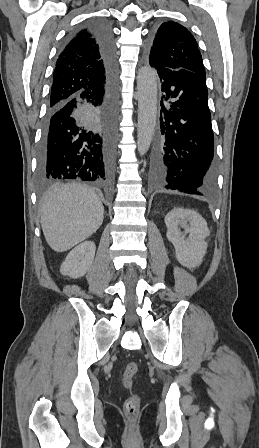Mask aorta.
I'll use <instances>...</instances> for the list:
<instances>
[{"label":"aorta","instance_id":"aorta-1","mask_svg":"<svg viewBox=\"0 0 259 448\" xmlns=\"http://www.w3.org/2000/svg\"><path fill=\"white\" fill-rule=\"evenodd\" d=\"M138 124L137 147L144 155L152 142L157 120V73L149 67L139 69L137 75Z\"/></svg>","mask_w":259,"mask_h":448}]
</instances>
